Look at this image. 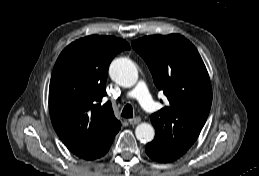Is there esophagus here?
I'll list each match as a JSON object with an SVG mask.
<instances>
[{"label":"esophagus","instance_id":"34e87169","mask_svg":"<svg viewBox=\"0 0 259 176\" xmlns=\"http://www.w3.org/2000/svg\"><path fill=\"white\" fill-rule=\"evenodd\" d=\"M128 122H129L131 125H136V124H138V123L141 122V118H139V117L130 118V119L128 120Z\"/></svg>","mask_w":259,"mask_h":176}]
</instances>
